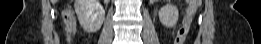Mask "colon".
Instances as JSON below:
<instances>
[{
	"label": "colon",
	"mask_w": 261,
	"mask_h": 44,
	"mask_svg": "<svg viewBox=\"0 0 261 44\" xmlns=\"http://www.w3.org/2000/svg\"><path fill=\"white\" fill-rule=\"evenodd\" d=\"M186 2L188 3V10L183 19L182 27L179 29L178 34L175 38V44L184 43L186 36L189 33L194 13L201 3L200 0H187Z\"/></svg>",
	"instance_id": "obj_1"
}]
</instances>
